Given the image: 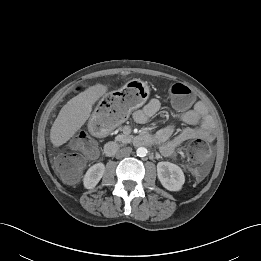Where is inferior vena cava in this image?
Returning a JSON list of instances; mask_svg holds the SVG:
<instances>
[{
	"label": "inferior vena cava",
	"mask_w": 261,
	"mask_h": 261,
	"mask_svg": "<svg viewBox=\"0 0 261 261\" xmlns=\"http://www.w3.org/2000/svg\"><path fill=\"white\" fill-rule=\"evenodd\" d=\"M131 152H132L131 147H124V148H121L120 150H118V152L116 153V157L117 158L127 157L130 155Z\"/></svg>",
	"instance_id": "1"
}]
</instances>
